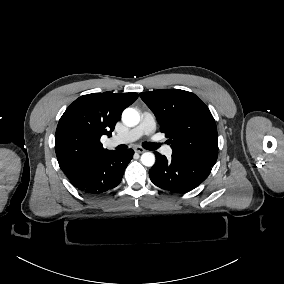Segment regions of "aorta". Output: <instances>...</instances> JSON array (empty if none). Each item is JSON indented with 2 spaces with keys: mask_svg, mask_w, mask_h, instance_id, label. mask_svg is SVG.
<instances>
[{
  "mask_svg": "<svg viewBox=\"0 0 284 284\" xmlns=\"http://www.w3.org/2000/svg\"><path fill=\"white\" fill-rule=\"evenodd\" d=\"M122 122L128 127H134L140 122V114L134 108H126L122 113ZM141 163L144 166L152 167L155 163V155L151 152H145L141 155Z\"/></svg>",
  "mask_w": 284,
  "mask_h": 284,
  "instance_id": "obj_1",
  "label": "aorta"
}]
</instances>
